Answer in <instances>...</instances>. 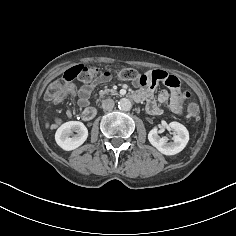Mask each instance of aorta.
Segmentation results:
<instances>
[{
	"mask_svg": "<svg viewBox=\"0 0 236 236\" xmlns=\"http://www.w3.org/2000/svg\"><path fill=\"white\" fill-rule=\"evenodd\" d=\"M118 107H119L120 110L129 111L131 109V107H132V103H131V101L129 99L122 98L118 102Z\"/></svg>",
	"mask_w": 236,
	"mask_h": 236,
	"instance_id": "aorta-1",
	"label": "aorta"
}]
</instances>
